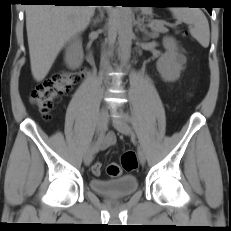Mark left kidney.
<instances>
[{
	"instance_id": "1",
	"label": "left kidney",
	"mask_w": 231,
	"mask_h": 231,
	"mask_svg": "<svg viewBox=\"0 0 231 231\" xmlns=\"http://www.w3.org/2000/svg\"><path fill=\"white\" fill-rule=\"evenodd\" d=\"M163 46L166 51L156 63L157 70L164 81L174 82L180 77L186 57L178 52L176 41L172 37H165Z\"/></svg>"
}]
</instances>
